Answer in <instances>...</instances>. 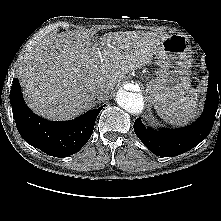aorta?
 Listing matches in <instances>:
<instances>
[{
    "instance_id": "1",
    "label": "aorta",
    "mask_w": 221,
    "mask_h": 221,
    "mask_svg": "<svg viewBox=\"0 0 221 221\" xmlns=\"http://www.w3.org/2000/svg\"><path fill=\"white\" fill-rule=\"evenodd\" d=\"M117 104L132 114H138L143 110L144 101L140 93L119 90L116 95Z\"/></svg>"
}]
</instances>
